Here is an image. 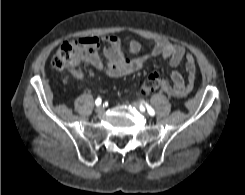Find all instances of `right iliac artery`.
<instances>
[{
  "label": "right iliac artery",
  "instance_id": "right-iliac-artery-1",
  "mask_svg": "<svg viewBox=\"0 0 245 195\" xmlns=\"http://www.w3.org/2000/svg\"><path fill=\"white\" fill-rule=\"evenodd\" d=\"M101 102H102L101 98H97L95 101L96 106H99Z\"/></svg>",
  "mask_w": 245,
  "mask_h": 195
}]
</instances>
